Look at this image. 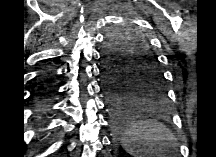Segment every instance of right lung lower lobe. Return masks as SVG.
<instances>
[{
	"label": "right lung lower lobe",
	"mask_w": 216,
	"mask_h": 157,
	"mask_svg": "<svg viewBox=\"0 0 216 157\" xmlns=\"http://www.w3.org/2000/svg\"><path fill=\"white\" fill-rule=\"evenodd\" d=\"M52 86L48 80V78L46 77L43 81L40 82L37 92H36V96L38 97L40 103H41V111H40V115L42 117L45 116L46 114V105L48 103V100L52 94Z\"/></svg>",
	"instance_id": "1"
}]
</instances>
